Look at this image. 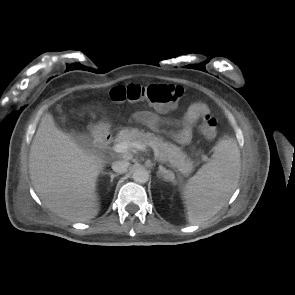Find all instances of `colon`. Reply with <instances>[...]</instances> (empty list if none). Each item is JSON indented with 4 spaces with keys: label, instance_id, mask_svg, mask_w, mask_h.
Here are the masks:
<instances>
[{
    "label": "colon",
    "instance_id": "1",
    "mask_svg": "<svg viewBox=\"0 0 295 295\" xmlns=\"http://www.w3.org/2000/svg\"><path fill=\"white\" fill-rule=\"evenodd\" d=\"M109 96L114 102H146L165 111L177 105L185 96V91L180 86L169 84H131L112 88ZM216 126V118L212 113H208L203 116L199 131L205 137L211 138L216 133Z\"/></svg>",
    "mask_w": 295,
    "mask_h": 295
}]
</instances>
